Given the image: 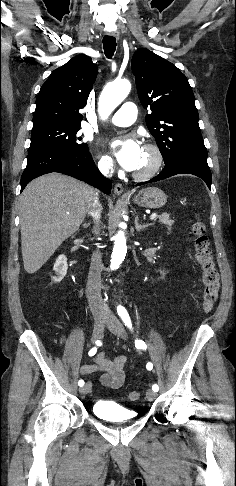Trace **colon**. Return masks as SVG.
Listing matches in <instances>:
<instances>
[{"instance_id": "1", "label": "colon", "mask_w": 236, "mask_h": 486, "mask_svg": "<svg viewBox=\"0 0 236 486\" xmlns=\"http://www.w3.org/2000/svg\"><path fill=\"white\" fill-rule=\"evenodd\" d=\"M192 234L194 237L195 258L202 270V282L204 285V294L202 308L205 313H209L219 295L220 282L219 273L214 262L213 251L210 247L209 239L205 232V226L200 221H195L192 225ZM141 397L138 391H132L129 399L137 401Z\"/></svg>"}]
</instances>
